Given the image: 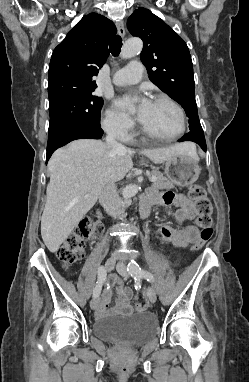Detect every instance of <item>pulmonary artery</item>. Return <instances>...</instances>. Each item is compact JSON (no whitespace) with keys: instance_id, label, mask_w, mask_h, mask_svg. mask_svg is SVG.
Returning <instances> with one entry per match:
<instances>
[{"instance_id":"obj_1","label":"pulmonary artery","mask_w":249,"mask_h":382,"mask_svg":"<svg viewBox=\"0 0 249 382\" xmlns=\"http://www.w3.org/2000/svg\"><path fill=\"white\" fill-rule=\"evenodd\" d=\"M143 65L139 61H132L126 67L117 71L113 77V83L117 86H124L138 83L143 76Z\"/></svg>"}]
</instances>
